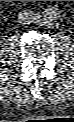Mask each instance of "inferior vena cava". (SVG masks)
Here are the masks:
<instances>
[{
    "instance_id": "1",
    "label": "inferior vena cava",
    "mask_w": 74,
    "mask_h": 122,
    "mask_svg": "<svg viewBox=\"0 0 74 122\" xmlns=\"http://www.w3.org/2000/svg\"><path fill=\"white\" fill-rule=\"evenodd\" d=\"M32 14H33L32 11L23 10L19 14V19L21 20L22 23L30 22L29 16H32Z\"/></svg>"
}]
</instances>
